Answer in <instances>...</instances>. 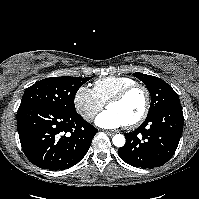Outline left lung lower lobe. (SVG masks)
I'll return each mask as SVG.
<instances>
[{
  "label": "left lung lower lobe",
  "instance_id": "left-lung-lower-lobe-1",
  "mask_svg": "<svg viewBox=\"0 0 199 199\" xmlns=\"http://www.w3.org/2000/svg\"><path fill=\"white\" fill-rule=\"evenodd\" d=\"M184 117L180 102L168 104L147 115L135 131L125 133L126 143L118 149L127 164L155 168L168 162L175 153L183 131Z\"/></svg>",
  "mask_w": 199,
  "mask_h": 199
}]
</instances>
